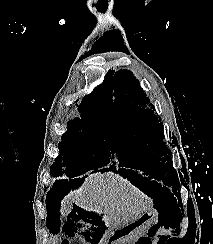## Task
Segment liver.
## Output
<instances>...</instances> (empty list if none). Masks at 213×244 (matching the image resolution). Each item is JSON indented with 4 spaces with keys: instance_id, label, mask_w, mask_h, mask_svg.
<instances>
[{
    "instance_id": "obj_1",
    "label": "liver",
    "mask_w": 213,
    "mask_h": 244,
    "mask_svg": "<svg viewBox=\"0 0 213 244\" xmlns=\"http://www.w3.org/2000/svg\"><path fill=\"white\" fill-rule=\"evenodd\" d=\"M80 188L70 191L60 203V214L67 217L73 203L78 207L105 214V220L117 225L134 219L152 208V201L130 181L112 172H89Z\"/></svg>"
}]
</instances>
